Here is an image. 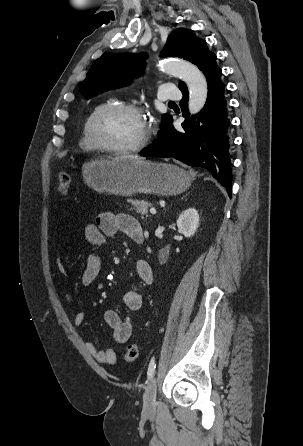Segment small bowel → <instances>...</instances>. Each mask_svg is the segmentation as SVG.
<instances>
[{"label": "small bowel", "mask_w": 303, "mask_h": 446, "mask_svg": "<svg viewBox=\"0 0 303 446\" xmlns=\"http://www.w3.org/2000/svg\"><path fill=\"white\" fill-rule=\"evenodd\" d=\"M123 234L136 243H141L143 230L139 222L128 214H114L104 212L97 216L94 224L85 227L84 238L90 247L103 245L107 237H114ZM57 268L61 274L67 276V270L60 259V249L57 251ZM101 269L99 257L90 253L87 256L85 268L82 274V283L90 286L98 279ZM136 277L142 285H150L153 282V272L145 260H138L136 263ZM66 300L72 303V295L66 294ZM123 302L129 311L135 312L142 307V295L136 288L126 291L123 295ZM104 322L112 330L115 342L122 344L129 340L132 335L133 326L130 320L123 319L115 310H107L104 315ZM85 315L77 311L74 315V324L81 326L84 323ZM87 351L100 363L115 364L117 362L116 351L112 348L100 349L93 342H86Z\"/></svg>", "instance_id": "c3829d8e"}]
</instances>
